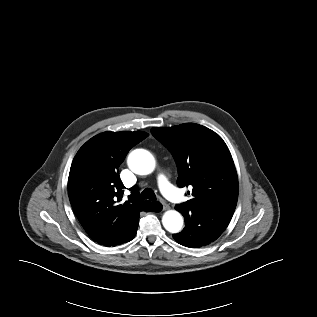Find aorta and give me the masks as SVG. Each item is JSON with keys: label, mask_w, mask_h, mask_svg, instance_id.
<instances>
[{"label": "aorta", "mask_w": 317, "mask_h": 317, "mask_svg": "<svg viewBox=\"0 0 317 317\" xmlns=\"http://www.w3.org/2000/svg\"><path fill=\"white\" fill-rule=\"evenodd\" d=\"M129 168L138 175L151 174L156 165L154 156L145 149L133 150L127 159ZM164 228L170 233H178L183 226L182 215L176 210H168L162 217Z\"/></svg>", "instance_id": "762f6f07"}]
</instances>
